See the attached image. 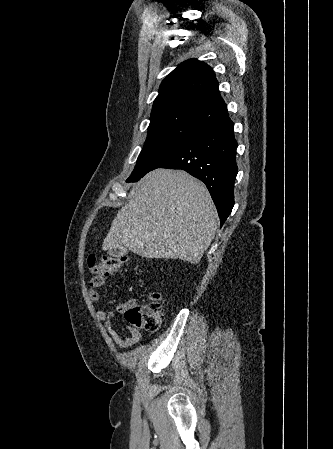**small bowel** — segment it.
Returning <instances> with one entry per match:
<instances>
[{"instance_id": "obj_1", "label": "small bowel", "mask_w": 333, "mask_h": 449, "mask_svg": "<svg viewBox=\"0 0 333 449\" xmlns=\"http://www.w3.org/2000/svg\"><path fill=\"white\" fill-rule=\"evenodd\" d=\"M105 281V275L95 274L89 280V293L91 300L97 305L96 316L97 319L108 328L109 334L113 342L120 348H128L139 342L141 334L136 328H129V335L122 336L115 328L112 327L111 321L113 315L100 307L101 294L100 289ZM135 300H130L126 303H121L117 306V311L124 313L129 303Z\"/></svg>"}]
</instances>
